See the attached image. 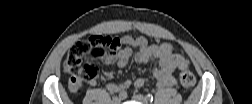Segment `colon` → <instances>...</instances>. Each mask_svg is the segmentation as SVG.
Masks as SVG:
<instances>
[{
    "mask_svg": "<svg viewBox=\"0 0 252 104\" xmlns=\"http://www.w3.org/2000/svg\"><path fill=\"white\" fill-rule=\"evenodd\" d=\"M117 38L93 35L76 42L69 50L63 64L64 72L69 75V87L77 90L83 81L95 77L96 69L93 65L84 63V58L104 59L113 55L120 45ZM181 85L190 91L195 85V76L189 70H182L179 74Z\"/></svg>",
    "mask_w": 252,
    "mask_h": 104,
    "instance_id": "obj_1",
    "label": "colon"
}]
</instances>
